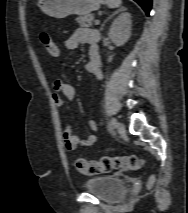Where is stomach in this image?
Wrapping results in <instances>:
<instances>
[{
    "label": "stomach",
    "instance_id": "obj_1",
    "mask_svg": "<svg viewBox=\"0 0 188 213\" xmlns=\"http://www.w3.org/2000/svg\"><path fill=\"white\" fill-rule=\"evenodd\" d=\"M102 0H39L40 11L55 18H64L71 14L88 15L99 9Z\"/></svg>",
    "mask_w": 188,
    "mask_h": 213
}]
</instances>
